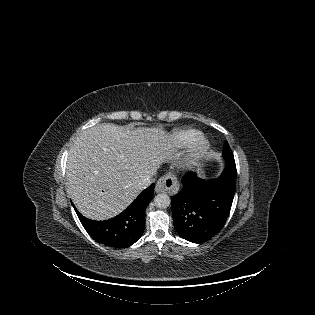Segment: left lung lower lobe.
I'll return each mask as SVG.
<instances>
[{"label": "left lung lower lobe", "mask_w": 315, "mask_h": 315, "mask_svg": "<svg viewBox=\"0 0 315 315\" xmlns=\"http://www.w3.org/2000/svg\"><path fill=\"white\" fill-rule=\"evenodd\" d=\"M236 165H226L221 176L212 181L189 172L182 178L183 189L172 197L176 231L186 240L202 243L224 226L236 188Z\"/></svg>", "instance_id": "left-lung-lower-lobe-1"}]
</instances>
